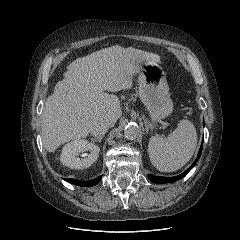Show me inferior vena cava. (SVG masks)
Returning <instances> with one entry per match:
<instances>
[{"label":"inferior vena cava","instance_id":"1","mask_svg":"<svg viewBox=\"0 0 240 240\" xmlns=\"http://www.w3.org/2000/svg\"><path fill=\"white\" fill-rule=\"evenodd\" d=\"M110 127V124L108 121H101L99 122L91 131V134L92 135H95V136H101L103 134H105L108 129Z\"/></svg>","mask_w":240,"mask_h":240}]
</instances>
